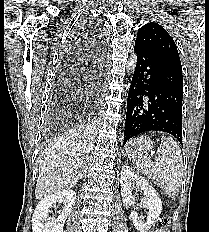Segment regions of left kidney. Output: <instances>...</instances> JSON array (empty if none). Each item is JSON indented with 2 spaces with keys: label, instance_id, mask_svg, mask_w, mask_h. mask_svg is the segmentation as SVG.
<instances>
[{
  "label": "left kidney",
  "instance_id": "1",
  "mask_svg": "<svg viewBox=\"0 0 209 232\" xmlns=\"http://www.w3.org/2000/svg\"><path fill=\"white\" fill-rule=\"evenodd\" d=\"M121 194L123 203L125 205L135 204V196L132 193V186L136 185L140 190L144 192L143 206L146 207L149 212L146 220H142L138 213L134 210L131 212L129 219L140 232H147L153 225V223L159 218L162 211V201L159 198L157 191L148 183L146 179L137 175L132 171L128 165H123L121 168Z\"/></svg>",
  "mask_w": 209,
  "mask_h": 232
}]
</instances>
